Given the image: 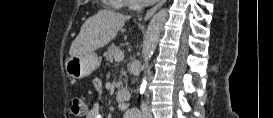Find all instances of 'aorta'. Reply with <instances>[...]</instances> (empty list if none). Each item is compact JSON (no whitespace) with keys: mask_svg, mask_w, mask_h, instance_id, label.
I'll return each mask as SVG.
<instances>
[{"mask_svg":"<svg viewBox=\"0 0 273 118\" xmlns=\"http://www.w3.org/2000/svg\"><path fill=\"white\" fill-rule=\"evenodd\" d=\"M167 17V11L165 9L157 12L151 19L143 44V58L144 68L148 66V62L151 60L157 43L159 41L160 32ZM146 87V75L143 77L140 92L143 93Z\"/></svg>","mask_w":273,"mask_h":118,"instance_id":"762f6f07","label":"aorta"}]
</instances>
